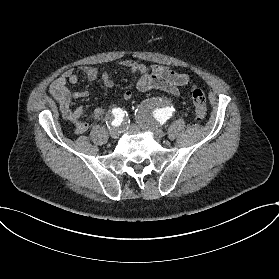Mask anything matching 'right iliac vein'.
<instances>
[{
    "instance_id": "1",
    "label": "right iliac vein",
    "mask_w": 279,
    "mask_h": 279,
    "mask_svg": "<svg viewBox=\"0 0 279 279\" xmlns=\"http://www.w3.org/2000/svg\"><path fill=\"white\" fill-rule=\"evenodd\" d=\"M109 134L112 138L116 139L119 137V131L117 128L113 127L112 129H110Z\"/></svg>"
}]
</instances>
